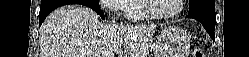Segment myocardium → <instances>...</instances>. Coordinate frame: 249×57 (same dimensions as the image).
<instances>
[{"mask_svg": "<svg viewBox=\"0 0 249 57\" xmlns=\"http://www.w3.org/2000/svg\"><path fill=\"white\" fill-rule=\"evenodd\" d=\"M152 0H142V10L148 16V18L153 20H166L179 15L184 7V0H178V7L175 11L167 14H157L152 10L151 6Z\"/></svg>", "mask_w": 249, "mask_h": 57, "instance_id": "myocardium-1", "label": "myocardium"}]
</instances>
